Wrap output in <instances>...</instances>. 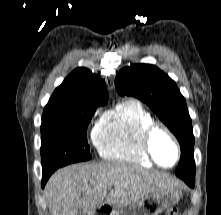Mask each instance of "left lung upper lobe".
Segmentation results:
<instances>
[{
  "mask_svg": "<svg viewBox=\"0 0 221 215\" xmlns=\"http://www.w3.org/2000/svg\"><path fill=\"white\" fill-rule=\"evenodd\" d=\"M115 87L121 96H134L146 103L167 125L181 146L176 175L181 179H195L191 118L175 82L154 65L134 64L118 72Z\"/></svg>",
  "mask_w": 221,
  "mask_h": 215,
  "instance_id": "obj_1",
  "label": "left lung upper lobe"
}]
</instances>
